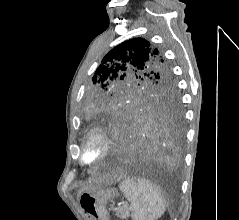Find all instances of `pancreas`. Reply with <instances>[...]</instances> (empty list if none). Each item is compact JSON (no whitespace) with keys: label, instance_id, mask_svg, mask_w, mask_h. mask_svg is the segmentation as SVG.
<instances>
[{"label":"pancreas","instance_id":"1","mask_svg":"<svg viewBox=\"0 0 239 220\" xmlns=\"http://www.w3.org/2000/svg\"><path fill=\"white\" fill-rule=\"evenodd\" d=\"M118 215L120 218H127L129 217V210L126 206H122L118 210Z\"/></svg>","mask_w":239,"mask_h":220}]
</instances>
